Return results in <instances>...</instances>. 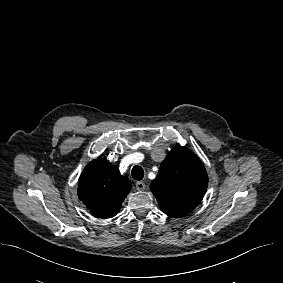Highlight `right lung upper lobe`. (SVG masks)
<instances>
[{"mask_svg":"<svg viewBox=\"0 0 283 283\" xmlns=\"http://www.w3.org/2000/svg\"><path fill=\"white\" fill-rule=\"evenodd\" d=\"M131 186L115 165L100 156L82 172L78 196L94 216L111 218L119 212Z\"/></svg>","mask_w":283,"mask_h":283,"instance_id":"obj_1","label":"right lung upper lobe"}]
</instances>
